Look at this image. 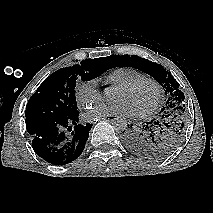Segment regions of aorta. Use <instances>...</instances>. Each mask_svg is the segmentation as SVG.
Listing matches in <instances>:
<instances>
[{
	"label": "aorta",
	"mask_w": 213,
	"mask_h": 213,
	"mask_svg": "<svg viewBox=\"0 0 213 213\" xmlns=\"http://www.w3.org/2000/svg\"><path fill=\"white\" fill-rule=\"evenodd\" d=\"M109 95V91H106V96ZM127 120L125 118L117 117L112 122V127L116 132H122L127 130Z\"/></svg>",
	"instance_id": "aorta-1"
}]
</instances>
